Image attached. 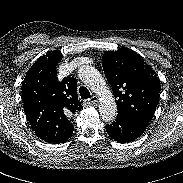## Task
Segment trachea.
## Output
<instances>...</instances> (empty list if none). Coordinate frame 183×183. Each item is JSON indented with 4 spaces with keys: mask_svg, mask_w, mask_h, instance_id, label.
<instances>
[{
    "mask_svg": "<svg viewBox=\"0 0 183 183\" xmlns=\"http://www.w3.org/2000/svg\"><path fill=\"white\" fill-rule=\"evenodd\" d=\"M79 93L82 99H88L91 97L89 90L84 86L80 87Z\"/></svg>",
    "mask_w": 183,
    "mask_h": 183,
    "instance_id": "3493384b",
    "label": "trachea"
}]
</instances>
